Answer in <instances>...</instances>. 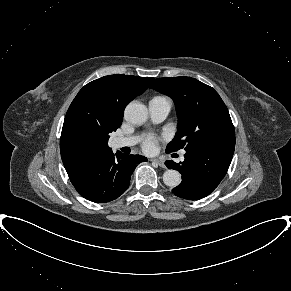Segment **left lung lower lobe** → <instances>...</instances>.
Segmentation results:
<instances>
[{"label": "left lung lower lobe", "instance_id": "left-lung-lower-lobe-1", "mask_svg": "<svg viewBox=\"0 0 291 291\" xmlns=\"http://www.w3.org/2000/svg\"><path fill=\"white\" fill-rule=\"evenodd\" d=\"M235 146H206L186 150L185 160L166 161L169 169L182 174V182L172 192L181 198L197 200L214 191L227 173Z\"/></svg>", "mask_w": 291, "mask_h": 291}]
</instances>
